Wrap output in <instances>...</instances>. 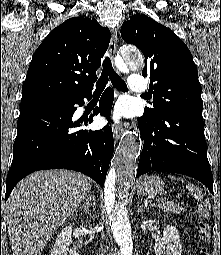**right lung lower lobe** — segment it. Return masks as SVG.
<instances>
[{
  "label": "right lung lower lobe",
  "mask_w": 221,
  "mask_h": 255,
  "mask_svg": "<svg viewBox=\"0 0 221 255\" xmlns=\"http://www.w3.org/2000/svg\"><path fill=\"white\" fill-rule=\"evenodd\" d=\"M90 97L91 92L20 107L5 200L22 178L38 170L71 169L88 175L101 187L104 186L114 150L111 127L105 126L96 131L76 130L80 123H92L93 117L72 121L77 109L75 105H83V99ZM113 99L112 89L107 88L93 114L109 118Z\"/></svg>",
  "instance_id": "obj_1"
}]
</instances>
